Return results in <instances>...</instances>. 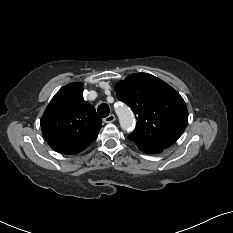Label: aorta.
<instances>
[{"mask_svg":"<svg viewBox=\"0 0 233 233\" xmlns=\"http://www.w3.org/2000/svg\"><path fill=\"white\" fill-rule=\"evenodd\" d=\"M115 110L121 128L127 132L132 131L135 125V119L131 109L125 104H120L116 107Z\"/></svg>","mask_w":233,"mask_h":233,"instance_id":"obj_1","label":"aorta"}]
</instances>
